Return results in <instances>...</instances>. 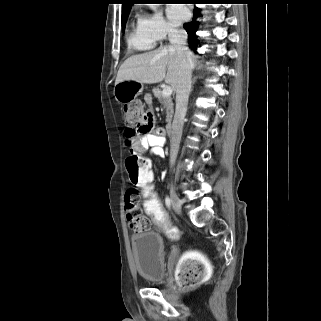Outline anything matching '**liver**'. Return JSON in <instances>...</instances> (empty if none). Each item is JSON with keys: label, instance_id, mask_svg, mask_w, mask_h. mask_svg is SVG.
<instances>
[{"label": "liver", "instance_id": "obj_1", "mask_svg": "<svg viewBox=\"0 0 321 321\" xmlns=\"http://www.w3.org/2000/svg\"><path fill=\"white\" fill-rule=\"evenodd\" d=\"M190 54L194 65L196 57L192 52ZM179 75L178 54L173 47L166 45L148 53L133 55L125 60L118 71L115 84L124 80L142 84H154L165 80L173 90H176Z\"/></svg>", "mask_w": 321, "mask_h": 321}]
</instances>
